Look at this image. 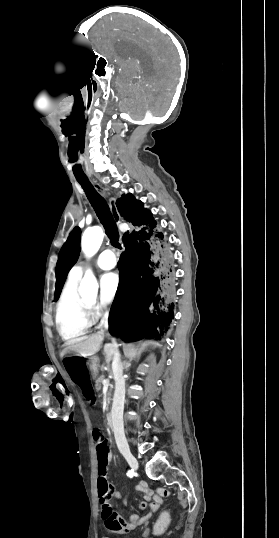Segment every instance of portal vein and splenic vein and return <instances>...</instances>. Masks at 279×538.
Returning <instances> with one entry per match:
<instances>
[{
	"mask_svg": "<svg viewBox=\"0 0 279 538\" xmlns=\"http://www.w3.org/2000/svg\"><path fill=\"white\" fill-rule=\"evenodd\" d=\"M104 386H109V381L104 380Z\"/></svg>",
	"mask_w": 279,
	"mask_h": 538,
	"instance_id": "obj_1",
	"label": "portal vein and splenic vein"
}]
</instances>
